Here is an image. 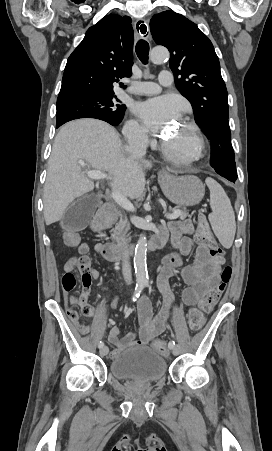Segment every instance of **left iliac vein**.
Segmentation results:
<instances>
[{"instance_id": "1", "label": "left iliac vein", "mask_w": 272, "mask_h": 451, "mask_svg": "<svg viewBox=\"0 0 272 451\" xmlns=\"http://www.w3.org/2000/svg\"><path fill=\"white\" fill-rule=\"evenodd\" d=\"M180 353V349H179V347L176 345L175 347H174V349H173V354L174 355H178Z\"/></svg>"}]
</instances>
